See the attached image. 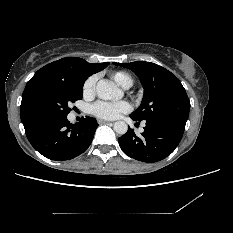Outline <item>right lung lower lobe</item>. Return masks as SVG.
I'll list each match as a JSON object with an SVG mask.
<instances>
[{
	"label": "right lung lower lobe",
	"instance_id": "right-lung-lower-lobe-1",
	"mask_svg": "<svg viewBox=\"0 0 233 233\" xmlns=\"http://www.w3.org/2000/svg\"><path fill=\"white\" fill-rule=\"evenodd\" d=\"M98 123L86 117L71 124L67 117L48 119L26 129L31 145L43 156L56 161L75 158L90 146Z\"/></svg>",
	"mask_w": 233,
	"mask_h": 233
}]
</instances>
